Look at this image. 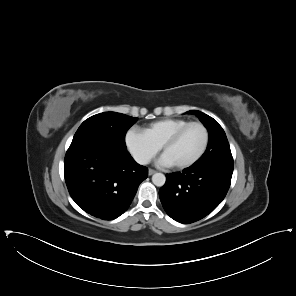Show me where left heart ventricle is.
Instances as JSON below:
<instances>
[{"label":"left heart ventricle","mask_w":296,"mask_h":296,"mask_svg":"<svg viewBox=\"0 0 296 296\" xmlns=\"http://www.w3.org/2000/svg\"><path fill=\"white\" fill-rule=\"evenodd\" d=\"M203 143V130L199 126H191L164 154L173 164L182 163L192 159L200 151Z\"/></svg>","instance_id":"obj_1"}]
</instances>
